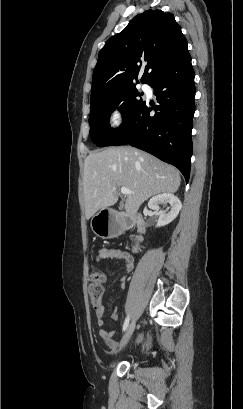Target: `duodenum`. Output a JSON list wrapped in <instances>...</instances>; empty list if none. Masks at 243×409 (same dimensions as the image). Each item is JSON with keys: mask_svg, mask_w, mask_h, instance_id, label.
I'll list each match as a JSON object with an SVG mask.
<instances>
[{"mask_svg": "<svg viewBox=\"0 0 243 409\" xmlns=\"http://www.w3.org/2000/svg\"><path fill=\"white\" fill-rule=\"evenodd\" d=\"M122 224L128 226L130 224H135L139 233H142L145 228L144 219L141 215L135 214L132 216H124L122 219ZM133 250H137V245L133 247Z\"/></svg>", "mask_w": 243, "mask_h": 409, "instance_id": "410a0bca", "label": "duodenum"}]
</instances>
